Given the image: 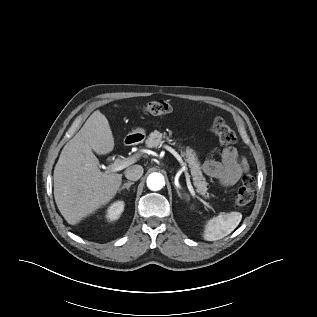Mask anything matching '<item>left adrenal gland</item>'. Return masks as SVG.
Returning a JSON list of instances; mask_svg holds the SVG:
<instances>
[{
    "mask_svg": "<svg viewBox=\"0 0 317 317\" xmlns=\"http://www.w3.org/2000/svg\"><path fill=\"white\" fill-rule=\"evenodd\" d=\"M175 189H176V191H177L178 196H179L182 200H184V199L189 200V195H188V194L184 193L183 196H182L181 193L179 192L178 187H175Z\"/></svg>",
    "mask_w": 317,
    "mask_h": 317,
    "instance_id": "a2214340",
    "label": "left adrenal gland"
}]
</instances>
